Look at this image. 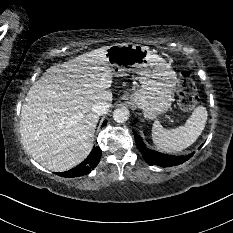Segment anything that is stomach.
Returning <instances> with one entry per match:
<instances>
[{
  "instance_id": "0dacf381",
  "label": "stomach",
  "mask_w": 233,
  "mask_h": 233,
  "mask_svg": "<svg viewBox=\"0 0 233 233\" xmlns=\"http://www.w3.org/2000/svg\"><path fill=\"white\" fill-rule=\"evenodd\" d=\"M106 58L113 75L137 74L141 89L130 96V102L142 109L145 118L168 111L177 80L170 64L148 47L133 43L108 46Z\"/></svg>"
}]
</instances>
